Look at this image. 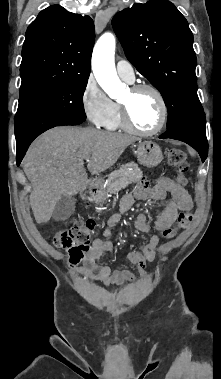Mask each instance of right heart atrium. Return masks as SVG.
Segmentation results:
<instances>
[{
    "instance_id": "right-heart-atrium-1",
    "label": "right heart atrium",
    "mask_w": 221,
    "mask_h": 379,
    "mask_svg": "<svg viewBox=\"0 0 221 379\" xmlns=\"http://www.w3.org/2000/svg\"><path fill=\"white\" fill-rule=\"evenodd\" d=\"M81 105L86 117L95 126H103L113 109L112 100L90 76L81 93Z\"/></svg>"
}]
</instances>
